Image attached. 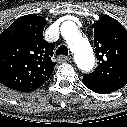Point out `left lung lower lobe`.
Masks as SVG:
<instances>
[{"mask_svg":"<svg viewBox=\"0 0 127 127\" xmlns=\"http://www.w3.org/2000/svg\"><path fill=\"white\" fill-rule=\"evenodd\" d=\"M82 81L87 88L99 94H109L111 92L120 89V87H118L113 83L99 80V79H90V78L83 77Z\"/></svg>","mask_w":127,"mask_h":127,"instance_id":"0a47b994","label":"left lung lower lobe"}]
</instances>
